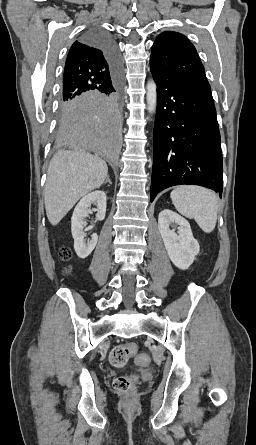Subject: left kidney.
I'll list each match as a JSON object with an SVG mask.
<instances>
[{"instance_id": "obj_1", "label": "left kidney", "mask_w": 256, "mask_h": 445, "mask_svg": "<svg viewBox=\"0 0 256 445\" xmlns=\"http://www.w3.org/2000/svg\"><path fill=\"white\" fill-rule=\"evenodd\" d=\"M175 224L178 225L177 233L175 229H170ZM158 229L172 263L181 270L188 269L200 251L189 222L177 213L165 209L159 213Z\"/></svg>"}]
</instances>
